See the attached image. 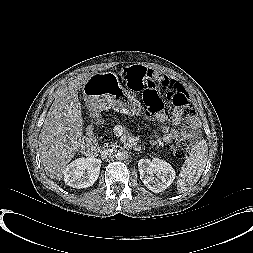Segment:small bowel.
I'll list each match as a JSON object with an SVG mask.
<instances>
[{"label":"small bowel","mask_w":253,"mask_h":253,"mask_svg":"<svg viewBox=\"0 0 253 253\" xmlns=\"http://www.w3.org/2000/svg\"><path fill=\"white\" fill-rule=\"evenodd\" d=\"M155 73L162 80L169 82L171 85L181 86L176 80L166 75H163L157 72ZM184 118H185L184 111L181 108H176L173 111L172 119L170 122H167V120L164 117L160 116L158 118V121L161 124L163 135L158 138V141H161L164 143H170L183 134L192 133L196 131L199 126V121L195 116H192V115L187 118V123L182 128L179 127L181 123L183 122Z\"/></svg>","instance_id":"obj_1"}]
</instances>
